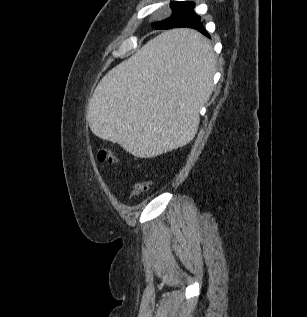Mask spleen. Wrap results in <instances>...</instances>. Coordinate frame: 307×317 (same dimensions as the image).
Instances as JSON below:
<instances>
[{"mask_svg": "<svg viewBox=\"0 0 307 317\" xmlns=\"http://www.w3.org/2000/svg\"><path fill=\"white\" fill-rule=\"evenodd\" d=\"M214 54L198 29H165L97 87L89 122L98 137L148 160L195 135L209 99Z\"/></svg>", "mask_w": 307, "mask_h": 317, "instance_id": "obj_1", "label": "spleen"}]
</instances>
